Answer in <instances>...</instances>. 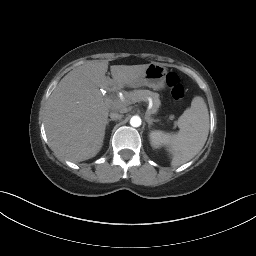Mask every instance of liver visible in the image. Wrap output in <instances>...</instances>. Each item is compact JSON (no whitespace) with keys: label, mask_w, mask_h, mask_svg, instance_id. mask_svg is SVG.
I'll return each mask as SVG.
<instances>
[{"label":"liver","mask_w":256,"mask_h":256,"mask_svg":"<svg viewBox=\"0 0 256 256\" xmlns=\"http://www.w3.org/2000/svg\"><path fill=\"white\" fill-rule=\"evenodd\" d=\"M149 64L112 65L94 61L70 71L50 95L45 111V129L58 158L81 162L95 157L102 148L109 106L100 88L123 86L141 77Z\"/></svg>","instance_id":"6515ba94"}]
</instances>
